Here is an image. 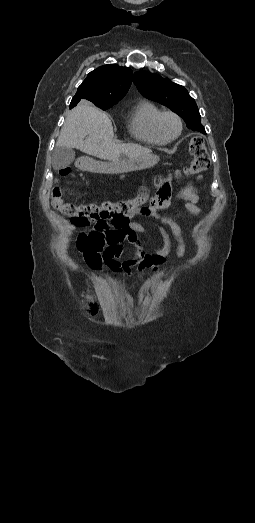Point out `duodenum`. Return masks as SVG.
<instances>
[{
	"label": "duodenum",
	"mask_w": 255,
	"mask_h": 523,
	"mask_svg": "<svg viewBox=\"0 0 255 523\" xmlns=\"http://www.w3.org/2000/svg\"><path fill=\"white\" fill-rule=\"evenodd\" d=\"M79 166L81 169L89 170L92 166V161L89 158H82L79 161Z\"/></svg>",
	"instance_id": "duodenum-1"
}]
</instances>
